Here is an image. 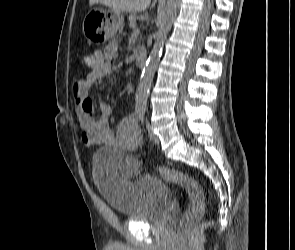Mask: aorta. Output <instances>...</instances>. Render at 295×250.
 <instances>
[{"instance_id":"1","label":"aorta","mask_w":295,"mask_h":250,"mask_svg":"<svg viewBox=\"0 0 295 250\" xmlns=\"http://www.w3.org/2000/svg\"><path fill=\"white\" fill-rule=\"evenodd\" d=\"M179 6L180 0H167L165 10L160 17L155 43L146 61V65L143 69L141 80L136 92V105L138 107L146 106L148 92L151 87L154 74L157 70L163 46L167 39L169 29L177 15Z\"/></svg>"}]
</instances>
